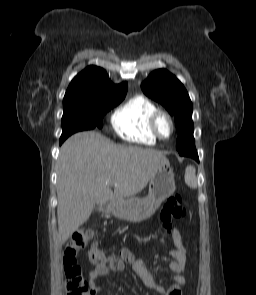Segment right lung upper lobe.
Wrapping results in <instances>:
<instances>
[{"label": "right lung upper lobe", "instance_id": "right-lung-upper-lobe-1", "mask_svg": "<svg viewBox=\"0 0 256 295\" xmlns=\"http://www.w3.org/2000/svg\"><path fill=\"white\" fill-rule=\"evenodd\" d=\"M127 83L113 84L104 69L89 66L70 83L63 99V107L101 98H113L126 94Z\"/></svg>", "mask_w": 256, "mask_h": 295}]
</instances>
